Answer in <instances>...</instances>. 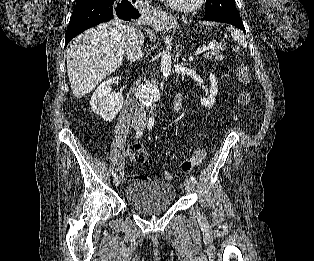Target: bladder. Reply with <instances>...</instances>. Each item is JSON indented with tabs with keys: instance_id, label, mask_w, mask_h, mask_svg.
<instances>
[{
	"instance_id": "1",
	"label": "bladder",
	"mask_w": 314,
	"mask_h": 261,
	"mask_svg": "<svg viewBox=\"0 0 314 261\" xmlns=\"http://www.w3.org/2000/svg\"><path fill=\"white\" fill-rule=\"evenodd\" d=\"M176 195L175 186L161 180L131 182L125 189L126 203L146 216H157L170 209Z\"/></svg>"
}]
</instances>
